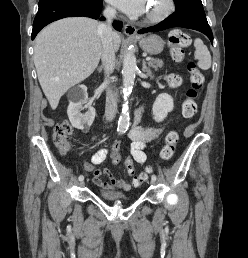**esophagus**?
<instances>
[{"label":"esophagus","mask_w":248,"mask_h":258,"mask_svg":"<svg viewBox=\"0 0 248 258\" xmlns=\"http://www.w3.org/2000/svg\"><path fill=\"white\" fill-rule=\"evenodd\" d=\"M124 33L127 36H135L137 34V29L134 25L132 24H125L124 25Z\"/></svg>","instance_id":"1"}]
</instances>
